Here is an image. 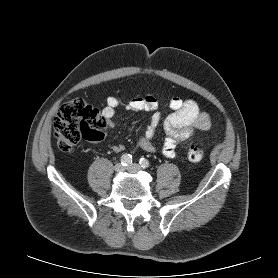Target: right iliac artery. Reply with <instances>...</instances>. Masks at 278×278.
Instances as JSON below:
<instances>
[{"label":"right iliac artery","instance_id":"82829eb1","mask_svg":"<svg viewBox=\"0 0 278 278\" xmlns=\"http://www.w3.org/2000/svg\"><path fill=\"white\" fill-rule=\"evenodd\" d=\"M120 161L123 166H128L132 163V156L130 154H123Z\"/></svg>","mask_w":278,"mask_h":278}]
</instances>
